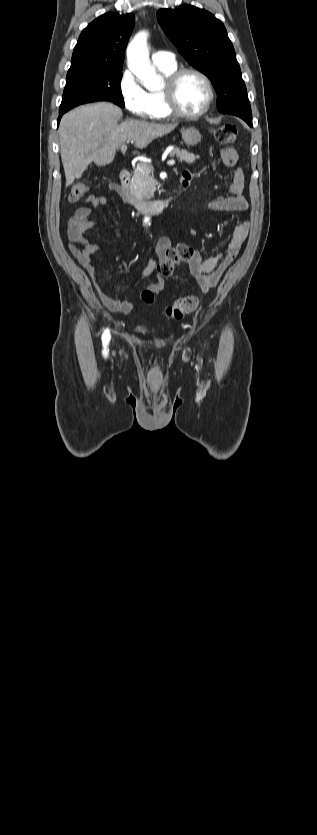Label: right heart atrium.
<instances>
[{"label":"right heart atrium","instance_id":"obj_1","mask_svg":"<svg viewBox=\"0 0 317 835\" xmlns=\"http://www.w3.org/2000/svg\"><path fill=\"white\" fill-rule=\"evenodd\" d=\"M118 88L122 101L130 113L140 118L151 117L148 92L142 88L130 70L126 69L122 72Z\"/></svg>","mask_w":317,"mask_h":835}]
</instances>
